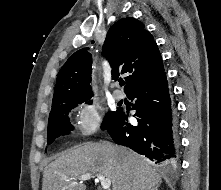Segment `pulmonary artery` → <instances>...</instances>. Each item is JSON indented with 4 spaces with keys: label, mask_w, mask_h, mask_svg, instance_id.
Returning a JSON list of instances; mask_svg holds the SVG:
<instances>
[{
    "label": "pulmonary artery",
    "mask_w": 221,
    "mask_h": 190,
    "mask_svg": "<svg viewBox=\"0 0 221 190\" xmlns=\"http://www.w3.org/2000/svg\"><path fill=\"white\" fill-rule=\"evenodd\" d=\"M113 97L116 99V100H122L123 97H124V94L121 90L119 89H115L113 91Z\"/></svg>",
    "instance_id": "obj_1"
}]
</instances>
